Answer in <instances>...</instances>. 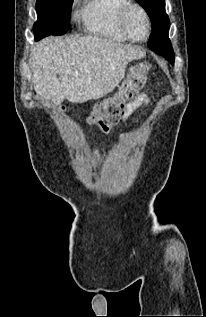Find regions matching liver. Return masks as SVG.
I'll return each mask as SVG.
<instances>
[{
  "mask_svg": "<svg viewBox=\"0 0 206 317\" xmlns=\"http://www.w3.org/2000/svg\"><path fill=\"white\" fill-rule=\"evenodd\" d=\"M144 56L140 48L96 36L47 37L31 53L34 90L55 106L97 100L115 89L129 62Z\"/></svg>",
  "mask_w": 206,
  "mask_h": 317,
  "instance_id": "6515ba94",
  "label": "liver"
}]
</instances>
